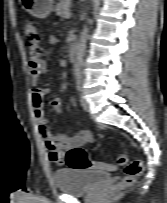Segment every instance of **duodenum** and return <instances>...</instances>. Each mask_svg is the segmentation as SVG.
<instances>
[{
  "mask_svg": "<svg viewBox=\"0 0 167 203\" xmlns=\"http://www.w3.org/2000/svg\"><path fill=\"white\" fill-rule=\"evenodd\" d=\"M76 51H77V47H76V44L73 43L70 47H69V50H68V59L69 61H74L75 58H76Z\"/></svg>",
  "mask_w": 167,
  "mask_h": 203,
  "instance_id": "1",
  "label": "duodenum"
}]
</instances>
